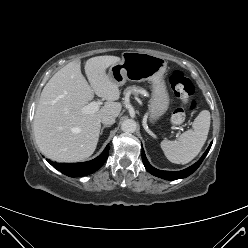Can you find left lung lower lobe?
I'll list each match as a JSON object with an SVG mask.
<instances>
[{"mask_svg": "<svg viewBox=\"0 0 248 248\" xmlns=\"http://www.w3.org/2000/svg\"><path fill=\"white\" fill-rule=\"evenodd\" d=\"M211 145H212V142L209 145L208 149L205 151V153L202 155V157L195 164H193L192 166H190L184 170H181V171H162V170H158V169L154 168L148 162L143 148H142V160H143V164H144L145 168L152 175L166 179V180H176V179L185 178V177L191 175L200 166V164L202 163V161L204 160V158L208 154Z\"/></svg>", "mask_w": 248, "mask_h": 248, "instance_id": "obj_1", "label": "left lung lower lobe"}]
</instances>
